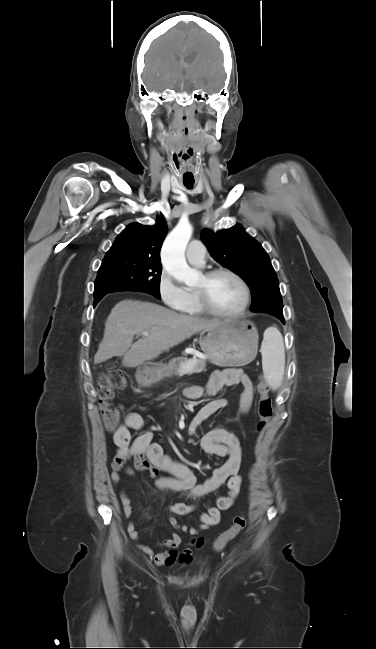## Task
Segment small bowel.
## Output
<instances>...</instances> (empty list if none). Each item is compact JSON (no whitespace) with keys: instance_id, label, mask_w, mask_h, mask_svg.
<instances>
[{"instance_id":"c3829d8e","label":"small bowel","mask_w":376,"mask_h":649,"mask_svg":"<svg viewBox=\"0 0 376 649\" xmlns=\"http://www.w3.org/2000/svg\"><path fill=\"white\" fill-rule=\"evenodd\" d=\"M237 384L244 387L240 399V409L246 412L252 403L253 386L249 377L238 368L215 371L205 389L198 385L190 386L185 389V396L189 399H198L204 393L212 395L224 386ZM226 406L227 402L224 399H215L205 404L192 420L189 431L193 433L202 422ZM143 425V417L137 412H130L125 418V423L119 426L113 434V442L117 450L110 466V477L115 485L121 481L123 474L131 475L133 473V469L128 466V463L133 461L137 467L147 470L153 478L157 477L159 472L169 474L166 477L156 478L155 486L160 491L184 493L190 498H200L217 490L225 483L229 489L227 495L217 498L216 506H209L206 512L199 515V524L196 527L181 525L174 516L193 512V505L178 502L169 506L171 515L168 520L171 526L190 537L188 547L182 552L178 551L183 543L180 533L175 532L170 538L158 543L157 546L163 547L165 550L154 554L150 546L140 542V535L133 522L128 523L127 530L131 539L139 542V548L152 556L157 565L170 566L177 561L188 563L193 557L191 547L199 549L203 545L204 539L200 534L219 523L220 511L228 509L239 493L242 479L238 473L242 462V447L238 437L223 428H214L207 432L201 439L202 449L209 455L227 457V460L213 471L211 477L203 483H197L195 475L185 463L164 454L162 446L153 441L151 432L146 431L132 440L130 431L140 430ZM120 503L126 518H131V499L124 490L120 492Z\"/></svg>"}]
</instances>
